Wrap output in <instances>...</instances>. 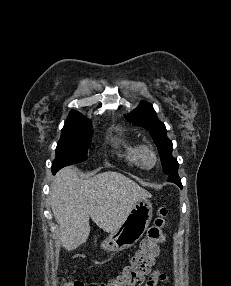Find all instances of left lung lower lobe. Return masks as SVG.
<instances>
[{
	"instance_id": "0a47b994",
	"label": "left lung lower lobe",
	"mask_w": 231,
	"mask_h": 286,
	"mask_svg": "<svg viewBox=\"0 0 231 286\" xmlns=\"http://www.w3.org/2000/svg\"><path fill=\"white\" fill-rule=\"evenodd\" d=\"M168 181L173 182L182 188L181 180L178 176V173H173L168 177Z\"/></svg>"
}]
</instances>
